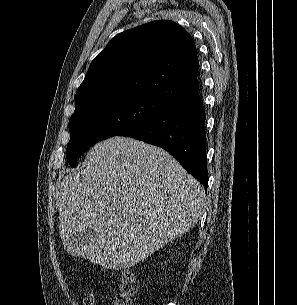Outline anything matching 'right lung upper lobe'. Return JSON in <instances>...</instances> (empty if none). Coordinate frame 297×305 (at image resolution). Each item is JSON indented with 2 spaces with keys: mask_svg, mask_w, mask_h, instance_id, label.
Wrapping results in <instances>:
<instances>
[{
  "mask_svg": "<svg viewBox=\"0 0 297 305\" xmlns=\"http://www.w3.org/2000/svg\"><path fill=\"white\" fill-rule=\"evenodd\" d=\"M199 61L190 34L157 20L115 36L91 62L75 96V110L121 94H149L172 101L198 89Z\"/></svg>",
  "mask_w": 297,
  "mask_h": 305,
  "instance_id": "right-lung-upper-lobe-1",
  "label": "right lung upper lobe"
}]
</instances>
